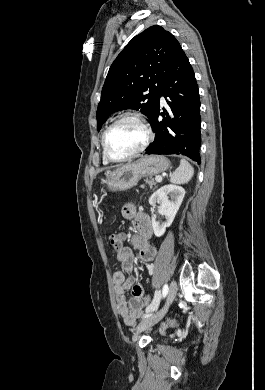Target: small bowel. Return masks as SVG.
<instances>
[{"instance_id": "obj_1", "label": "small bowel", "mask_w": 265, "mask_h": 390, "mask_svg": "<svg viewBox=\"0 0 265 390\" xmlns=\"http://www.w3.org/2000/svg\"><path fill=\"white\" fill-rule=\"evenodd\" d=\"M122 214L126 219L133 220L136 233L131 237V243L138 250V259L141 262L150 263L156 255L155 248L149 243L152 235L150 218L132 203H126L123 206ZM117 237L118 248L115 250V254L122 269L113 275L116 304L119 315L124 322L128 325H134L144 312L143 297L146 295V290L142 284L137 283L129 275L136 257L129 247L124 246L125 234L120 233ZM128 290L132 292V297L129 300L125 295Z\"/></svg>"}]
</instances>
